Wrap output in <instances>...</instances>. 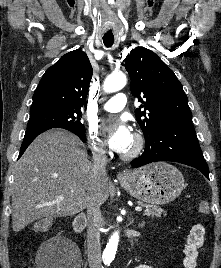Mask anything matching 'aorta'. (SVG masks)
I'll list each match as a JSON object with an SVG mask.
<instances>
[{
    "mask_svg": "<svg viewBox=\"0 0 221 268\" xmlns=\"http://www.w3.org/2000/svg\"><path fill=\"white\" fill-rule=\"evenodd\" d=\"M127 83V78L123 73L108 76L103 84V90L106 93H113L121 90ZM119 242V233L115 232L109 239L106 249L104 250V258L107 263L111 262L116 254Z\"/></svg>",
    "mask_w": 221,
    "mask_h": 268,
    "instance_id": "762f6f07",
    "label": "aorta"
}]
</instances>
